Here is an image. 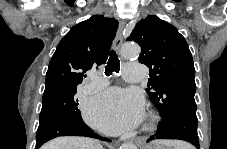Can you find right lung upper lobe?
<instances>
[{"instance_id": "cb5924a9", "label": "right lung upper lobe", "mask_w": 227, "mask_h": 149, "mask_svg": "<svg viewBox=\"0 0 227 149\" xmlns=\"http://www.w3.org/2000/svg\"><path fill=\"white\" fill-rule=\"evenodd\" d=\"M118 28L114 18L94 15L70 29L58 44L46 73L45 89L77 86L91 68L105 63Z\"/></svg>"}]
</instances>
